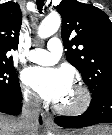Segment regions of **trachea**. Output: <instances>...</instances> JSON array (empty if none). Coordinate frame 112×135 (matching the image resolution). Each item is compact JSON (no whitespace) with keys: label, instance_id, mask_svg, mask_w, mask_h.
<instances>
[{"label":"trachea","instance_id":"trachea-1","mask_svg":"<svg viewBox=\"0 0 112 135\" xmlns=\"http://www.w3.org/2000/svg\"><path fill=\"white\" fill-rule=\"evenodd\" d=\"M44 1L45 0H36V4H37V8L39 10V12H42L43 6H44Z\"/></svg>","mask_w":112,"mask_h":135}]
</instances>
